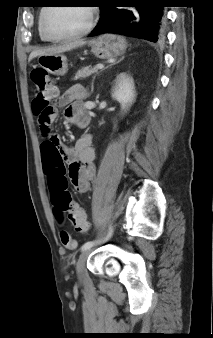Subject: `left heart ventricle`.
<instances>
[{
  "instance_id": "b2bd125f",
  "label": "left heart ventricle",
  "mask_w": 213,
  "mask_h": 338,
  "mask_svg": "<svg viewBox=\"0 0 213 338\" xmlns=\"http://www.w3.org/2000/svg\"><path fill=\"white\" fill-rule=\"evenodd\" d=\"M89 21L86 7L56 6L47 17V31L51 36L60 37L81 31Z\"/></svg>"
}]
</instances>
